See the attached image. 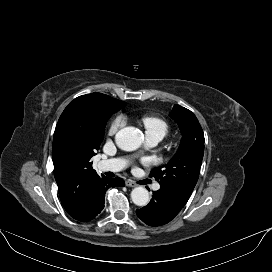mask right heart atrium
Instances as JSON below:
<instances>
[{
    "instance_id": "1",
    "label": "right heart atrium",
    "mask_w": 272,
    "mask_h": 272,
    "mask_svg": "<svg viewBox=\"0 0 272 272\" xmlns=\"http://www.w3.org/2000/svg\"><path fill=\"white\" fill-rule=\"evenodd\" d=\"M125 124V117L122 115L117 116L111 123L109 128V134L113 135L117 130Z\"/></svg>"
}]
</instances>
